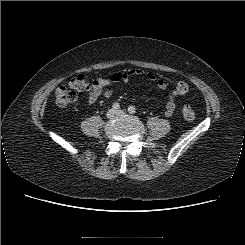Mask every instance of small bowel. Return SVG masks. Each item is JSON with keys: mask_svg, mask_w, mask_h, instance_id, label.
<instances>
[{"mask_svg": "<svg viewBox=\"0 0 245 245\" xmlns=\"http://www.w3.org/2000/svg\"><path fill=\"white\" fill-rule=\"evenodd\" d=\"M143 75V71L141 69H129L122 72H115L111 74L108 78L98 77L93 85V89L88 94V102L89 104H94L100 97L110 98L112 96L111 86L121 82L127 81L133 76ZM146 78L150 81L156 82L157 87L160 90L166 91L169 89V84L165 79L156 78L154 74L147 73ZM176 101L175 97L172 93H168V98L165 104V115L167 117L171 116L175 110Z\"/></svg>", "mask_w": 245, "mask_h": 245, "instance_id": "c3829d8e", "label": "small bowel"}]
</instances>
